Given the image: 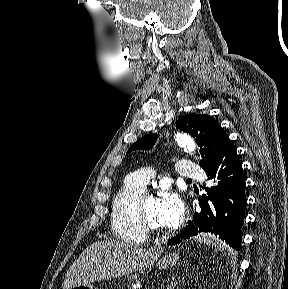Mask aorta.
I'll use <instances>...</instances> for the list:
<instances>
[{"mask_svg":"<svg viewBox=\"0 0 288 289\" xmlns=\"http://www.w3.org/2000/svg\"><path fill=\"white\" fill-rule=\"evenodd\" d=\"M175 140L178 146L186 152H193L196 148L194 141L185 134H178Z\"/></svg>","mask_w":288,"mask_h":289,"instance_id":"obj_1","label":"aorta"}]
</instances>
